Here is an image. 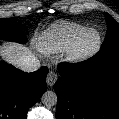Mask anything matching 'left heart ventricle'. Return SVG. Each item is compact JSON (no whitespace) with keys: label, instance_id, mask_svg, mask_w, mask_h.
<instances>
[{"label":"left heart ventricle","instance_id":"1","mask_svg":"<svg viewBox=\"0 0 119 119\" xmlns=\"http://www.w3.org/2000/svg\"><path fill=\"white\" fill-rule=\"evenodd\" d=\"M95 42H96V36L95 35H90L84 41L83 47L84 48H90L95 44Z\"/></svg>","mask_w":119,"mask_h":119}]
</instances>
